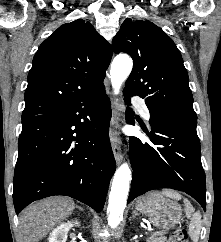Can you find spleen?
Segmentation results:
<instances>
[{
	"mask_svg": "<svg viewBox=\"0 0 221 242\" xmlns=\"http://www.w3.org/2000/svg\"><path fill=\"white\" fill-rule=\"evenodd\" d=\"M162 194L175 200H181L183 198L180 193L171 189L163 190ZM183 202L185 205L186 216L191 219L189 225V235L193 242H197L201 230V215L198 212L195 213V209L186 198H183Z\"/></svg>",
	"mask_w": 221,
	"mask_h": 242,
	"instance_id": "spleen-1",
	"label": "spleen"
}]
</instances>
